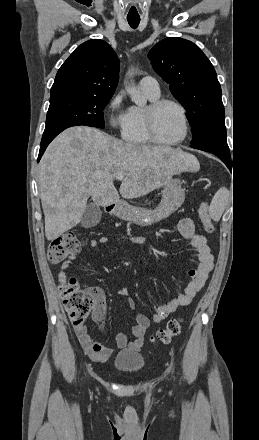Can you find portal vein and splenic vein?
Returning a JSON list of instances; mask_svg holds the SVG:
<instances>
[{
	"instance_id": "portal-vein-and-splenic-vein-1",
	"label": "portal vein and splenic vein",
	"mask_w": 259,
	"mask_h": 440,
	"mask_svg": "<svg viewBox=\"0 0 259 440\" xmlns=\"http://www.w3.org/2000/svg\"><path fill=\"white\" fill-rule=\"evenodd\" d=\"M123 178H124V174H123V173H118V174L116 175V179L119 180V181H122Z\"/></svg>"
}]
</instances>
